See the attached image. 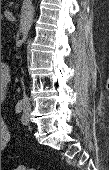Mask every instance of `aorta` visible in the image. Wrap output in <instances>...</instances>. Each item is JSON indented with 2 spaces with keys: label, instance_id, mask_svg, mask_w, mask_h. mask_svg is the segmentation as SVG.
<instances>
[{
  "label": "aorta",
  "instance_id": "762f6f07",
  "mask_svg": "<svg viewBox=\"0 0 109 170\" xmlns=\"http://www.w3.org/2000/svg\"><path fill=\"white\" fill-rule=\"evenodd\" d=\"M34 14L35 7L31 4L26 10L25 15L21 21L22 42H25L27 39L28 33L32 27Z\"/></svg>",
  "mask_w": 109,
  "mask_h": 170
}]
</instances>
